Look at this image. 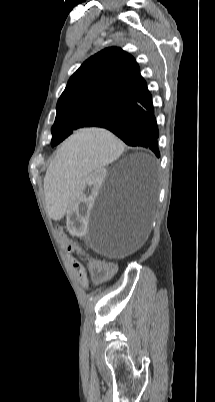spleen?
Returning a JSON list of instances; mask_svg holds the SVG:
<instances>
[{"label": "spleen", "mask_w": 215, "mask_h": 402, "mask_svg": "<svg viewBox=\"0 0 215 402\" xmlns=\"http://www.w3.org/2000/svg\"><path fill=\"white\" fill-rule=\"evenodd\" d=\"M122 151V144L110 128H77L64 143L50 167L45 182L49 195L46 213L51 220L65 214L72 202L69 193H76L99 169L112 162Z\"/></svg>", "instance_id": "1"}]
</instances>
